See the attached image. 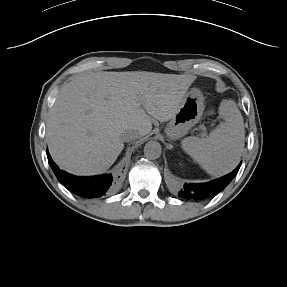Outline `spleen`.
<instances>
[{"label": "spleen", "mask_w": 287, "mask_h": 287, "mask_svg": "<svg viewBox=\"0 0 287 287\" xmlns=\"http://www.w3.org/2000/svg\"><path fill=\"white\" fill-rule=\"evenodd\" d=\"M219 114L225 120L206 138L190 136L182 140V148L213 176L231 172L239 163L244 149L243 117L231 100L222 101Z\"/></svg>", "instance_id": "spleen-1"}]
</instances>
